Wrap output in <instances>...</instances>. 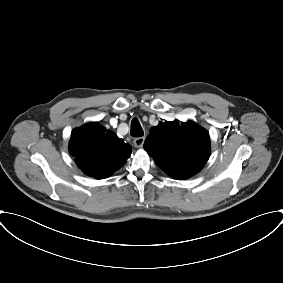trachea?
Returning <instances> with one entry per match:
<instances>
[{"instance_id":"trachea-1","label":"trachea","mask_w":283,"mask_h":283,"mask_svg":"<svg viewBox=\"0 0 283 283\" xmlns=\"http://www.w3.org/2000/svg\"><path fill=\"white\" fill-rule=\"evenodd\" d=\"M130 134L133 137H141V136L144 135L143 129H142L137 118H134L131 121V132H130Z\"/></svg>"}]
</instances>
